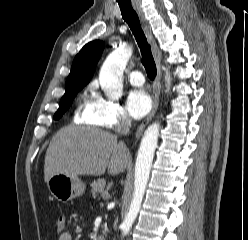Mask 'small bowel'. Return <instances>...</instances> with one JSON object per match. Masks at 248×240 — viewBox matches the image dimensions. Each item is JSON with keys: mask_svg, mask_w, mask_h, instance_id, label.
<instances>
[{"mask_svg": "<svg viewBox=\"0 0 248 240\" xmlns=\"http://www.w3.org/2000/svg\"><path fill=\"white\" fill-rule=\"evenodd\" d=\"M58 240H73L70 232L65 231L59 235Z\"/></svg>", "mask_w": 248, "mask_h": 240, "instance_id": "1", "label": "small bowel"}]
</instances>
